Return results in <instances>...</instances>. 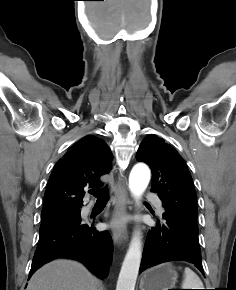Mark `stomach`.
<instances>
[{
	"label": "stomach",
	"instance_id": "1",
	"mask_svg": "<svg viewBox=\"0 0 236 290\" xmlns=\"http://www.w3.org/2000/svg\"><path fill=\"white\" fill-rule=\"evenodd\" d=\"M178 274L170 263L158 265L148 270L142 277L141 290H169L173 289Z\"/></svg>",
	"mask_w": 236,
	"mask_h": 290
}]
</instances>
